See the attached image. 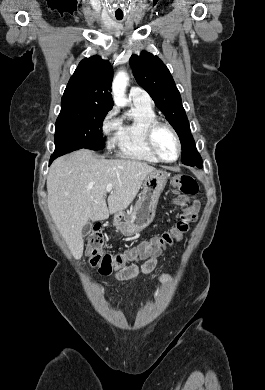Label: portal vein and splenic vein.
<instances>
[{"instance_id": "portal-vein-and-splenic-vein-1", "label": "portal vein and splenic vein", "mask_w": 265, "mask_h": 390, "mask_svg": "<svg viewBox=\"0 0 265 390\" xmlns=\"http://www.w3.org/2000/svg\"><path fill=\"white\" fill-rule=\"evenodd\" d=\"M112 189H113V185L112 184H107L106 191L108 193H110L112 191Z\"/></svg>"}]
</instances>
